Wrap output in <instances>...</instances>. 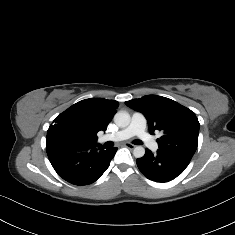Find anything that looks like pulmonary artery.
Masks as SVG:
<instances>
[{"instance_id": "obj_1", "label": "pulmonary artery", "mask_w": 235, "mask_h": 235, "mask_svg": "<svg viewBox=\"0 0 235 235\" xmlns=\"http://www.w3.org/2000/svg\"><path fill=\"white\" fill-rule=\"evenodd\" d=\"M147 120L140 112H134L131 116L129 124L112 133L105 134L98 139V142L103 143L107 141L121 142L128 140L134 136H139L149 141V147L152 151L157 150V145L150 141V136L146 133Z\"/></svg>"}]
</instances>
